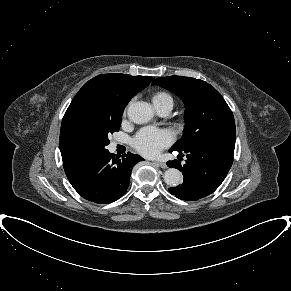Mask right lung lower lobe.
<instances>
[{
	"label": "right lung lower lobe",
	"mask_w": 291,
	"mask_h": 291,
	"mask_svg": "<svg viewBox=\"0 0 291 291\" xmlns=\"http://www.w3.org/2000/svg\"><path fill=\"white\" fill-rule=\"evenodd\" d=\"M141 160V156L130 152L120 159L107 150L80 167L68 179L86 200L110 203L127 191L132 168Z\"/></svg>",
	"instance_id": "obj_1"
}]
</instances>
